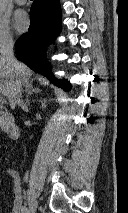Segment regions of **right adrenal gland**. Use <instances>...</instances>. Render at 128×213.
Wrapping results in <instances>:
<instances>
[{"instance_id": "2a0ac1e0", "label": "right adrenal gland", "mask_w": 128, "mask_h": 213, "mask_svg": "<svg viewBox=\"0 0 128 213\" xmlns=\"http://www.w3.org/2000/svg\"><path fill=\"white\" fill-rule=\"evenodd\" d=\"M25 92H26L25 104H29V95H32L33 93H39L41 92V90L38 88H34L32 83H30L26 86Z\"/></svg>"}]
</instances>
